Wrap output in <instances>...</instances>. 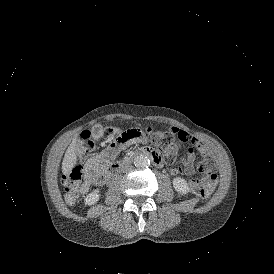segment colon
<instances>
[{
  "label": "colon",
  "mask_w": 274,
  "mask_h": 274,
  "mask_svg": "<svg viewBox=\"0 0 274 274\" xmlns=\"http://www.w3.org/2000/svg\"><path fill=\"white\" fill-rule=\"evenodd\" d=\"M181 131V130H179ZM146 133L158 152L157 156L175 157L171 152H176L181 146L183 141L177 139V135H172L166 129L153 130L146 128L145 131L136 130H121V129H108L102 133V136L110 140L115 146H123L125 144H138L139 140L146 139ZM78 142H89V133H78ZM82 177V166L79 163H74L67 171L64 183L65 202L68 205H74L77 202V194L79 191L78 183ZM190 192L201 199H206L210 196L207 187L202 182L201 178L193 181L190 184Z\"/></svg>",
  "instance_id": "5ec220e1"
}]
</instances>
